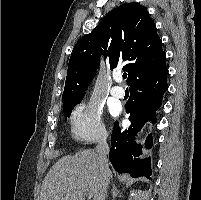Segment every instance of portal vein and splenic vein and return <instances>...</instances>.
<instances>
[{
	"label": "portal vein and splenic vein",
	"instance_id": "1",
	"mask_svg": "<svg viewBox=\"0 0 201 200\" xmlns=\"http://www.w3.org/2000/svg\"><path fill=\"white\" fill-rule=\"evenodd\" d=\"M89 197H92V195H91V194H89Z\"/></svg>",
	"mask_w": 201,
	"mask_h": 200
}]
</instances>
